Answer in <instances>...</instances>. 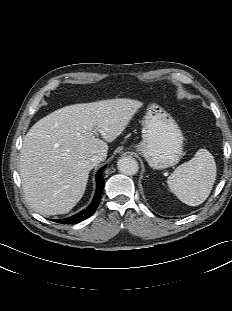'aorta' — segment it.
<instances>
[{
    "mask_svg": "<svg viewBox=\"0 0 232 311\" xmlns=\"http://www.w3.org/2000/svg\"><path fill=\"white\" fill-rule=\"evenodd\" d=\"M118 170L126 175H134L138 172L139 165L135 158L131 156L121 157L117 162Z\"/></svg>",
    "mask_w": 232,
    "mask_h": 311,
    "instance_id": "1",
    "label": "aorta"
}]
</instances>
